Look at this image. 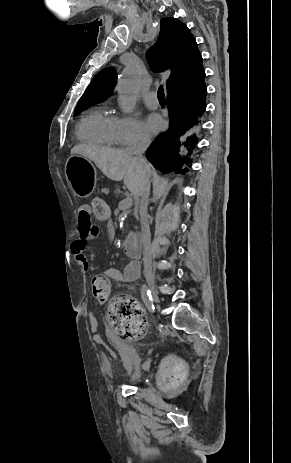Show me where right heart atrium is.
Here are the masks:
<instances>
[{"label": "right heart atrium", "instance_id": "obj_1", "mask_svg": "<svg viewBox=\"0 0 291 463\" xmlns=\"http://www.w3.org/2000/svg\"><path fill=\"white\" fill-rule=\"evenodd\" d=\"M119 144L125 147L146 143L149 136L139 120L132 115L116 117Z\"/></svg>", "mask_w": 291, "mask_h": 463}]
</instances>
